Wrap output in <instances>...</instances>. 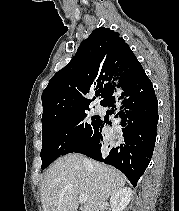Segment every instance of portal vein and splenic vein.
<instances>
[{
	"label": "portal vein and splenic vein",
	"instance_id": "1",
	"mask_svg": "<svg viewBox=\"0 0 179 211\" xmlns=\"http://www.w3.org/2000/svg\"><path fill=\"white\" fill-rule=\"evenodd\" d=\"M78 199H79V201L81 203H84L86 201V199H87V196H85V195H79Z\"/></svg>",
	"mask_w": 179,
	"mask_h": 211
}]
</instances>
